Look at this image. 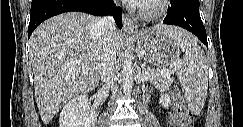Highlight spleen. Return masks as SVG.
<instances>
[{
  "label": "spleen",
  "mask_w": 243,
  "mask_h": 127,
  "mask_svg": "<svg viewBox=\"0 0 243 127\" xmlns=\"http://www.w3.org/2000/svg\"><path fill=\"white\" fill-rule=\"evenodd\" d=\"M178 48L184 52L173 64L177 72L188 106L199 113L205 104L208 89V62L196 39L184 30L169 31Z\"/></svg>",
  "instance_id": "3e777b00"
}]
</instances>
